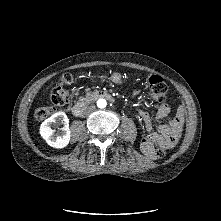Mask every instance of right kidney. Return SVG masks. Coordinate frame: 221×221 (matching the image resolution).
<instances>
[{"mask_svg":"<svg viewBox=\"0 0 221 221\" xmlns=\"http://www.w3.org/2000/svg\"><path fill=\"white\" fill-rule=\"evenodd\" d=\"M52 125H64L58 131ZM69 119L64 112H57L46 119L40 126V135L48 145L54 148H64L70 141Z\"/></svg>","mask_w":221,"mask_h":221,"instance_id":"right-kidney-1","label":"right kidney"}]
</instances>
